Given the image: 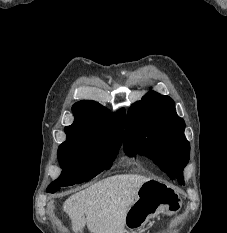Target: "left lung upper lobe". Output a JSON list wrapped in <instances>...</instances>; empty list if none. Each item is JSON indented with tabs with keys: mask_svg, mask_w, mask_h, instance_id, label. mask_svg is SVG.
<instances>
[{
	"mask_svg": "<svg viewBox=\"0 0 227 233\" xmlns=\"http://www.w3.org/2000/svg\"><path fill=\"white\" fill-rule=\"evenodd\" d=\"M185 123L176 114L174 101L151 91L134 103L127 113L124 151L151 158L171 179L183 183V168L190 156L184 135Z\"/></svg>",
	"mask_w": 227,
	"mask_h": 233,
	"instance_id": "5c2ea615",
	"label": "left lung upper lobe"
}]
</instances>
